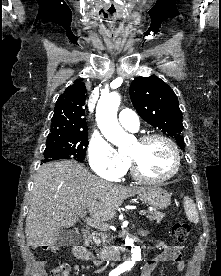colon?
Wrapping results in <instances>:
<instances>
[{"label": "colon", "instance_id": "5ec220e1", "mask_svg": "<svg viewBox=\"0 0 221 276\" xmlns=\"http://www.w3.org/2000/svg\"><path fill=\"white\" fill-rule=\"evenodd\" d=\"M190 232V225L186 222H177L173 225L172 233L175 239L179 243H183L187 240ZM47 250L55 252L57 250L56 247H46ZM70 268L68 264L64 262H59L51 269V276H69Z\"/></svg>", "mask_w": 221, "mask_h": 276}]
</instances>
